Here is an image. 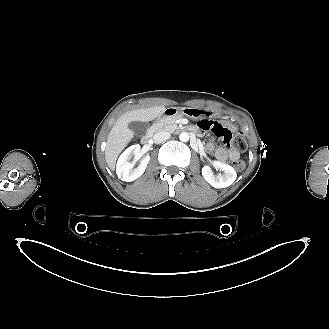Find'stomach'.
<instances>
[{
	"label": "stomach",
	"mask_w": 329,
	"mask_h": 329,
	"mask_svg": "<svg viewBox=\"0 0 329 329\" xmlns=\"http://www.w3.org/2000/svg\"><path fill=\"white\" fill-rule=\"evenodd\" d=\"M169 114L168 117L171 116H179V115H186L190 118L197 119L200 116H211L212 112L209 110L194 108V107H187V108H175L171 107L168 108Z\"/></svg>",
	"instance_id": "1"
}]
</instances>
